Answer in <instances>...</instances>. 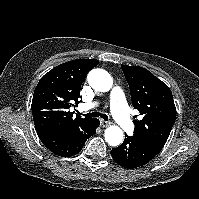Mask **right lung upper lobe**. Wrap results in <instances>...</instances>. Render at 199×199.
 Here are the masks:
<instances>
[{"instance_id":"cb5924a9","label":"right lung upper lobe","mask_w":199,"mask_h":199,"mask_svg":"<svg viewBox=\"0 0 199 199\" xmlns=\"http://www.w3.org/2000/svg\"><path fill=\"white\" fill-rule=\"evenodd\" d=\"M99 63L96 59H76L53 68L37 84L32 99V115L38 135L48 132H72L92 118L73 119L68 109L79 101L80 88L87 75Z\"/></svg>"}]
</instances>
